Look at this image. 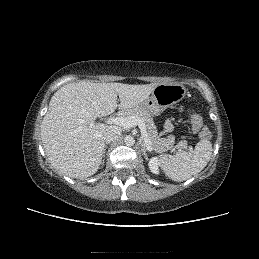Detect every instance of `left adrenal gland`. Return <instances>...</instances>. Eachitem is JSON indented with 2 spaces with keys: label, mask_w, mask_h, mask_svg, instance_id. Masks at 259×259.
<instances>
[{
  "label": "left adrenal gland",
  "mask_w": 259,
  "mask_h": 259,
  "mask_svg": "<svg viewBox=\"0 0 259 259\" xmlns=\"http://www.w3.org/2000/svg\"><path fill=\"white\" fill-rule=\"evenodd\" d=\"M141 148H142L143 155H144L145 159H147L146 151H150V149H148V148L146 147V145L144 144V142H141Z\"/></svg>",
  "instance_id": "a2214340"
}]
</instances>
